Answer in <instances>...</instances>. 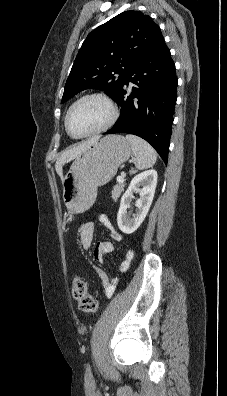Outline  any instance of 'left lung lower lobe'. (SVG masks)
I'll list each match as a JSON object with an SVG mask.
<instances>
[{
    "label": "left lung lower lobe",
    "mask_w": 227,
    "mask_h": 396,
    "mask_svg": "<svg viewBox=\"0 0 227 396\" xmlns=\"http://www.w3.org/2000/svg\"><path fill=\"white\" fill-rule=\"evenodd\" d=\"M129 82L134 87L131 95L126 96ZM176 89L175 64L162 37L129 71L114 100L121 106L120 117L104 134L137 135L150 143L167 164Z\"/></svg>",
    "instance_id": "left-lung-lower-lobe-1"
}]
</instances>
